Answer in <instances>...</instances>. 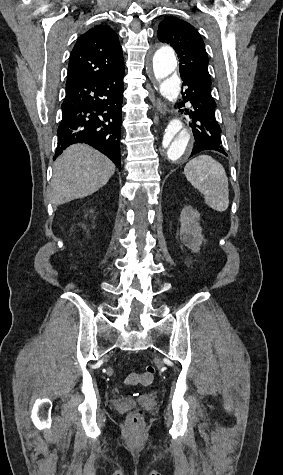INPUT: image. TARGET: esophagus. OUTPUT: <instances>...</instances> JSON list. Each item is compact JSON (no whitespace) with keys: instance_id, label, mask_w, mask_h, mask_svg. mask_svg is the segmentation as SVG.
<instances>
[{"instance_id":"1","label":"esophagus","mask_w":283,"mask_h":475,"mask_svg":"<svg viewBox=\"0 0 283 475\" xmlns=\"http://www.w3.org/2000/svg\"><path fill=\"white\" fill-rule=\"evenodd\" d=\"M156 107L159 113H161L162 115H165L167 113V105L161 99L156 100Z\"/></svg>"}]
</instances>
